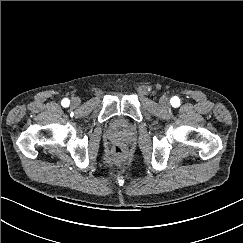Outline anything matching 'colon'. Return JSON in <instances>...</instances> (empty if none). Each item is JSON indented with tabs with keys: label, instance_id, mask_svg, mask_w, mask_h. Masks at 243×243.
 <instances>
[{
	"label": "colon",
	"instance_id": "5ec220e1",
	"mask_svg": "<svg viewBox=\"0 0 243 243\" xmlns=\"http://www.w3.org/2000/svg\"><path fill=\"white\" fill-rule=\"evenodd\" d=\"M124 155H125V152L121 146L116 145L111 149L110 157H111L112 162L115 164L121 163L124 159Z\"/></svg>",
	"mask_w": 243,
	"mask_h": 243
}]
</instances>
